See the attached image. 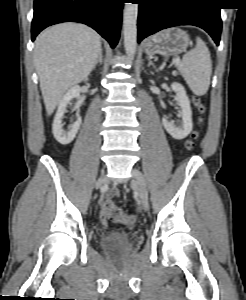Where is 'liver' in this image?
I'll list each match as a JSON object with an SVG mask.
<instances>
[{
  "label": "liver",
  "mask_w": 246,
  "mask_h": 300,
  "mask_svg": "<svg viewBox=\"0 0 246 300\" xmlns=\"http://www.w3.org/2000/svg\"><path fill=\"white\" fill-rule=\"evenodd\" d=\"M100 51L99 34L79 23L54 25L36 38L34 64L48 115L66 90L88 77Z\"/></svg>",
  "instance_id": "1"
}]
</instances>
